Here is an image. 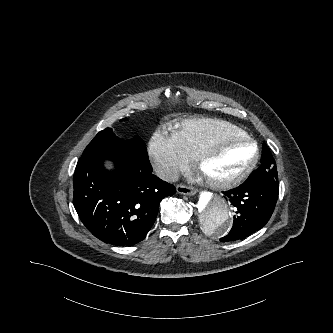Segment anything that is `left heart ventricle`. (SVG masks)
<instances>
[{
    "mask_svg": "<svg viewBox=\"0 0 333 333\" xmlns=\"http://www.w3.org/2000/svg\"><path fill=\"white\" fill-rule=\"evenodd\" d=\"M253 148L246 142L220 143L204 161L200 173L211 179H226L238 173L252 158Z\"/></svg>",
    "mask_w": 333,
    "mask_h": 333,
    "instance_id": "left-heart-ventricle-1",
    "label": "left heart ventricle"
}]
</instances>
